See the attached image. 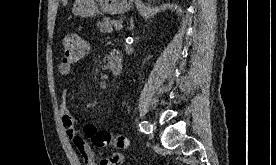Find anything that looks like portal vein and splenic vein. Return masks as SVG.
Returning <instances> with one entry per match:
<instances>
[{
  "label": "portal vein and splenic vein",
  "mask_w": 276,
  "mask_h": 165,
  "mask_svg": "<svg viewBox=\"0 0 276 165\" xmlns=\"http://www.w3.org/2000/svg\"><path fill=\"white\" fill-rule=\"evenodd\" d=\"M113 24H114L115 30H120L123 27L122 23L119 21L113 22Z\"/></svg>",
  "instance_id": "obj_1"
}]
</instances>
